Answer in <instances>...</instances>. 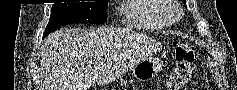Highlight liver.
<instances>
[{"label":"liver","instance_id":"1","mask_svg":"<svg viewBox=\"0 0 237 90\" xmlns=\"http://www.w3.org/2000/svg\"><path fill=\"white\" fill-rule=\"evenodd\" d=\"M117 32L110 28H61L44 42L41 68L45 90H89L118 66ZM92 64H96L95 70Z\"/></svg>","mask_w":237,"mask_h":90}]
</instances>
